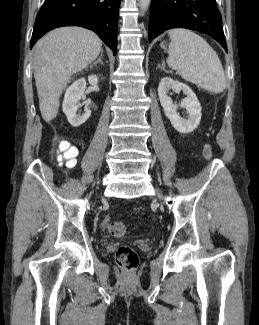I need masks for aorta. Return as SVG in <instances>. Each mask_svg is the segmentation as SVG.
Returning a JSON list of instances; mask_svg holds the SVG:
<instances>
[{
    "instance_id": "1",
    "label": "aorta",
    "mask_w": 259,
    "mask_h": 325,
    "mask_svg": "<svg viewBox=\"0 0 259 325\" xmlns=\"http://www.w3.org/2000/svg\"><path fill=\"white\" fill-rule=\"evenodd\" d=\"M151 0H139V7L142 12L147 11L149 5H150Z\"/></svg>"
}]
</instances>
